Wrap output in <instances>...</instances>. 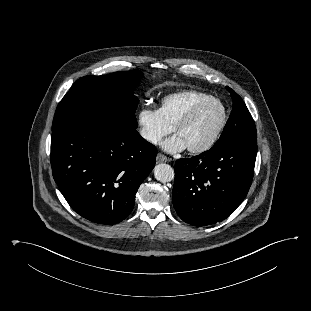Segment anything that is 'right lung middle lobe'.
Returning a JSON list of instances; mask_svg holds the SVG:
<instances>
[{
  "label": "right lung middle lobe",
  "instance_id": "dd1d6c3e",
  "mask_svg": "<svg viewBox=\"0 0 311 311\" xmlns=\"http://www.w3.org/2000/svg\"><path fill=\"white\" fill-rule=\"evenodd\" d=\"M139 71H121L77 80L58 104L52 132L79 126L137 128L139 100L133 94Z\"/></svg>",
  "mask_w": 311,
  "mask_h": 311
}]
</instances>
